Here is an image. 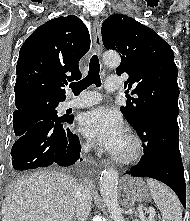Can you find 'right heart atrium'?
<instances>
[{
	"mask_svg": "<svg viewBox=\"0 0 190 221\" xmlns=\"http://www.w3.org/2000/svg\"><path fill=\"white\" fill-rule=\"evenodd\" d=\"M84 146H85L86 148H89V147L91 146V142H90V141H86L85 144H84Z\"/></svg>",
	"mask_w": 190,
	"mask_h": 221,
	"instance_id": "obj_1",
	"label": "right heart atrium"
}]
</instances>
